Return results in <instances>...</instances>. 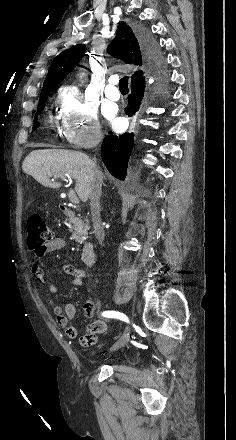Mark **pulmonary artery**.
<instances>
[{"instance_id": "obj_1", "label": "pulmonary artery", "mask_w": 236, "mask_h": 440, "mask_svg": "<svg viewBox=\"0 0 236 440\" xmlns=\"http://www.w3.org/2000/svg\"><path fill=\"white\" fill-rule=\"evenodd\" d=\"M117 80L115 77L108 79L107 86L105 88V95L108 99L117 101L120 98V93L116 87Z\"/></svg>"}]
</instances>
